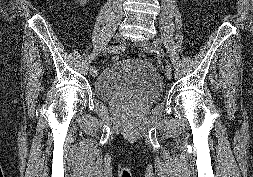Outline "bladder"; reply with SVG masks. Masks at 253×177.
<instances>
[{"label": "bladder", "mask_w": 253, "mask_h": 177, "mask_svg": "<svg viewBox=\"0 0 253 177\" xmlns=\"http://www.w3.org/2000/svg\"><path fill=\"white\" fill-rule=\"evenodd\" d=\"M93 91L105 102L134 99L147 105L161 96L163 82L151 63L119 59L101 71L95 79Z\"/></svg>", "instance_id": "obj_1"}]
</instances>
